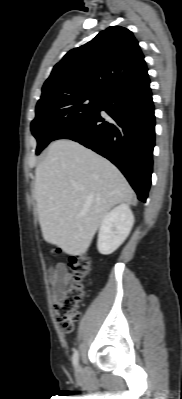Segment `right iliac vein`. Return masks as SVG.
Masks as SVG:
<instances>
[{"label": "right iliac vein", "mask_w": 182, "mask_h": 399, "mask_svg": "<svg viewBox=\"0 0 182 399\" xmlns=\"http://www.w3.org/2000/svg\"><path fill=\"white\" fill-rule=\"evenodd\" d=\"M75 374H76L77 377H80V375H81V368H80L79 366L77 367V369H76V371H75Z\"/></svg>", "instance_id": "right-iliac-vein-1"}]
</instances>
